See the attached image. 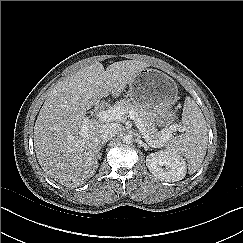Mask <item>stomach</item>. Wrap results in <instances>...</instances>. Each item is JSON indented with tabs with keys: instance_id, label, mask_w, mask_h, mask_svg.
Masks as SVG:
<instances>
[{
	"instance_id": "obj_1",
	"label": "stomach",
	"mask_w": 243,
	"mask_h": 243,
	"mask_svg": "<svg viewBox=\"0 0 243 243\" xmlns=\"http://www.w3.org/2000/svg\"><path fill=\"white\" fill-rule=\"evenodd\" d=\"M129 96L136 106L152 114L158 126L172 123L178 88L165 73L153 68L142 69L129 83Z\"/></svg>"
}]
</instances>
